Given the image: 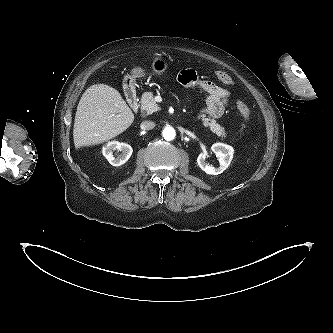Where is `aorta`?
Masks as SVG:
<instances>
[{
    "instance_id": "762f6f07",
    "label": "aorta",
    "mask_w": 333,
    "mask_h": 333,
    "mask_svg": "<svg viewBox=\"0 0 333 333\" xmlns=\"http://www.w3.org/2000/svg\"><path fill=\"white\" fill-rule=\"evenodd\" d=\"M162 135L165 140L171 141L175 138L176 132L174 128L167 126L163 129Z\"/></svg>"
}]
</instances>
